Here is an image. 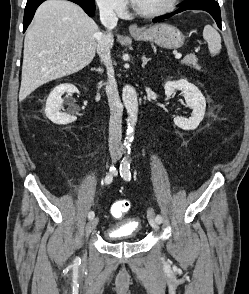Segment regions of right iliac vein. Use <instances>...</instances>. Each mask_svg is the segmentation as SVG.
Listing matches in <instances>:
<instances>
[{"instance_id": "63e3f726", "label": "right iliac vein", "mask_w": 249, "mask_h": 294, "mask_svg": "<svg viewBox=\"0 0 249 294\" xmlns=\"http://www.w3.org/2000/svg\"><path fill=\"white\" fill-rule=\"evenodd\" d=\"M111 156H112L113 159L116 158V156H117L116 149H113V150L111 151ZM97 224H98V218H97V217L91 219V220L88 222V224H87V226H86V236H87V237H88V236L90 235V233L96 228Z\"/></svg>"}]
</instances>
